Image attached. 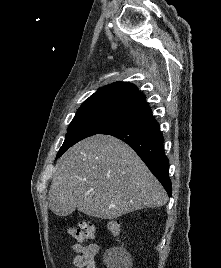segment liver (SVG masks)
<instances>
[{"mask_svg": "<svg viewBox=\"0 0 221 268\" xmlns=\"http://www.w3.org/2000/svg\"><path fill=\"white\" fill-rule=\"evenodd\" d=\"M48 201L59 216L77 209L89 216L116 219L161 207L168 197L133 149L112 136L95 135L71 147L57 162Z\"/></svg>", "mask_w": 221, "mask_h": 268, "instance_id": "liver-1", "label": "liver"}]
</instances>
